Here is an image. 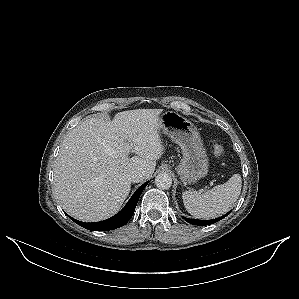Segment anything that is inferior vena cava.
Returning <instances> with one entry per match:
<instances>
[{"label": "inferior vena cava", "instance_id": "inferior-vena-cava-1", "mask_svg": "<svg viewBox=\"0 0 299 299\" xmlns=\"http://www.w3.org/2000/svg\"><path fill=\"white\" fill-rule=\"evenodd\" d=\"M145 173L141 169L134 170L130 172L129 179L133 183H138L144 180Z\"/></svg>", "mask_w": 299, "mask_h": 299}]
</instances>
